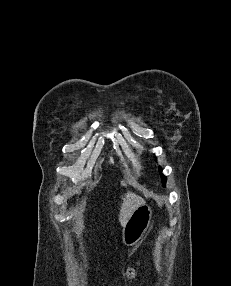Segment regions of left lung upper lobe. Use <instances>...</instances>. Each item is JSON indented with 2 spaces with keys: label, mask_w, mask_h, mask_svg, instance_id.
Wrapping results in <instances>:
<instances>
[{
  "label": "left lung upper lobe",
  "mask_w": 231,
  "mask_h": 286,
  "mask_svg": "<svg viewBox=\"0 0 231 286\" xmlns=\"http://www.w3.org/2000/svg\"><path fill=\"white\" fill-rule=\"evenodd\" d=\"M159 170H160V172L162 171L161 168H159ZM166 180L167 179L164 176H162V184H163V186H165Z\"/></svg>",
  "instance_id": "left-lung-upper-lobe-1"
}]
</instances>
